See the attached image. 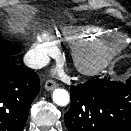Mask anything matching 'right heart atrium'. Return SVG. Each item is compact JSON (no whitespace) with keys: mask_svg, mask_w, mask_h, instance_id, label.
Segmentation results:
<instances>
[{"mask_svg":"<svg viewBox=\"0 0 131 131\" xmlns=\"http://www.w3.org/2000/svg\"><path fill=\"white\" fill-rule=\"evenodd\" d=\"M55 52L56 46L52 40L46 34H41L37 36L30 55L35 61H39Z\"/></svg>","mask_w":131,"mask_h":131,"instance_id":"1","label":"right heart atrium"}]
</instances>
